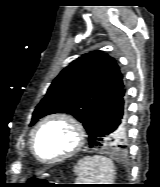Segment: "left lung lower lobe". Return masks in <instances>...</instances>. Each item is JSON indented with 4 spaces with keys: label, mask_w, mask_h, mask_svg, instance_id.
Instances as JSON below:
<instances>
[{
    "label": "left lung lower lobe",
    "mask_w": 160,
    "mask_h": 187,
    "mask_svg": "<svg viewBox=\"0 0 160 187\" xmlns=\"http://www.w3.org/2000/svg\"><path fill=\"white\" fill-rule=\"evenodd\" d=\"M124 96L125 89L123 88L100 111L93 128L88 132L90 147L111 151L125 149L120 137L115 141L112 137L115 131L124 127Z\"/></svg>",
    "instance_id": "obj_1"
}]
</instances>
